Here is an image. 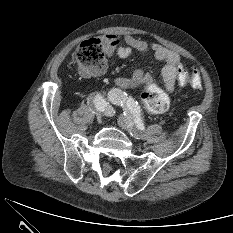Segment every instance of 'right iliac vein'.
<instances>
[{
	"mask_svg": "<svg viewBox=\"0 0 233 233\" xmlns=\"http://www.w3.org/2000/svg\"><path fill=\"white\" fill-rule=\"evenodd\" d=\"M96 119H97V121H98L99 123H101L102 120H103L102 114H101V113H97V114H96Z\"/></svg>",
	"mask_w": 233,
	"mask_h": 233,
	"instance_id": "right-iliac-vein-1",
	"label": "right iliac vein"
}]
</instances>
